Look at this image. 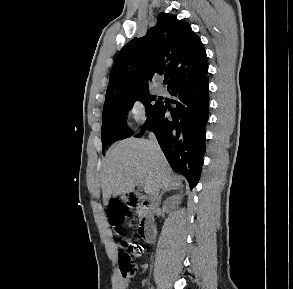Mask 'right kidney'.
I'll return each instance as SVG.
<instances>
[{
    "mask_svg": "<svg viewBox=\"0 0 293 289\" xmlns=\"http://www.w3.org/2000/svg\"><path fill=\"white\" fill-rule=\"evenodd\" d=\"M179 200H180V198H179L178 195L170 197V198H169L168 200H166V202L164 203V206H163L164 209H165L166 211H169V210L175 208V205L179 203Z\"/></svg>",
    "mask_w": 293,
    "mask_h": 289,
    "instance_id": "ca27d5eb",
    "label": "right kidney"
}]
</instances>
